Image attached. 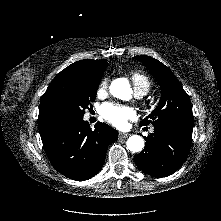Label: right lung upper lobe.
Listing matches in <instances>:
<instances>
[{
  "label": "right lung upper lobe",
  "mask_w": 221,
  "mask_h": 221,
  "mask_svg": "<svg viewBox=\"0 0 221 221\" xmlns=\"http://www.w3.org/2000/svg\"><path fill=\"white\" fill-rule=\"evenodd\" d=\"M106 66V60H81L62 71H76L89 77L102 78ZM47 91L42 96L39 107L38 128L40 133L68 121L51 107L47 100Z\"/></svg>",
  "instance_id": "1"
}]
</instances>
